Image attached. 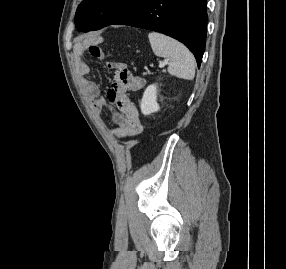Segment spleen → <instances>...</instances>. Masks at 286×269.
I'll return each instance as SVG.
<instances>
[{
	"instance_id": "3e777b00",
	"label": "spleen",
	"mask_w": 286,
	"mask_h": 269,
	"mask_svg": "<svg viewBox=\"0 0 286 269\" xmlns=\"http://www.w3.org/2000/svg\"><path fill=\"white\" fill-rule=\"evenodd\" d=\"M155 55L169 61L168 72L177 78L193 80L195 77V58L179 41L157 32L148 35Z\"/></svg>"
}]
</instances>
